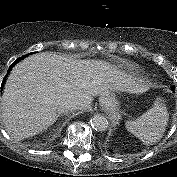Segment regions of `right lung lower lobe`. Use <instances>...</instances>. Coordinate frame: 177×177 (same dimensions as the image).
Here are the masks:
<instances>
[{"label": "right lung lower lobe", "mask_w": 177, "mask_h": 177, "mask_svg": "<svg viewBox=\"0 0 177 177\" xmlns=\"http://www.w3.org/2000/svg\"><path fill=\"white\" fill-rule=\"evenodd\" d=\"M29 55V54H28ZM27 56V55H26ZM26 56H22V57H20V58H18L10 67H9V70H8V72L10 71V69H12V67L16 64V63H18L19 61H21L24 57H26Z\"/></svg>", "instance_id": "98d812e1"}]
</instances>
